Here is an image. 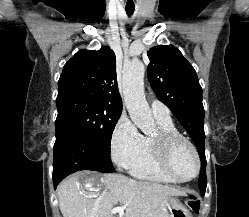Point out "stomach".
Here are the masks:
<instances>
[{"label":"stomach","mask_w":249,"mask_h":217,"mask_svg":"<svg viewBox=\"0 0 249 217\" xmlns=\"http://www.w3.org/2000/svg\"><path fill=\"white\" fill-rule=\"evenodd\" d=\"M180 203L176 198L169 197L166 203V209L170 213L169 217H174L175 214L181 213L179 210Z\"/></svg>","instance_id":"1"}]
</instances>
